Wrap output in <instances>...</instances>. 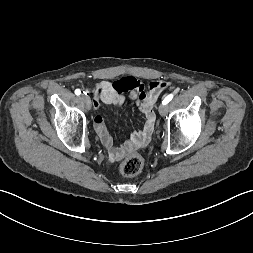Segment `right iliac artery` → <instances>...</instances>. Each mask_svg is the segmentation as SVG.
I'll return each mask as SVG.
<instances>
[{"mask_svg": "<svg viewBox=\"0 0 253 253\" xmlns=\"http://www.w3.org/2000/svg\"><path fill=\"white\" fill-rule=\"evenodd\" d=\"M75 94H76V95H80V94H81L80 89H76V90H75Z\"/></svg>", "mask_w": 253, "mask_h": 253, "instance_id": "right-iliac-artery-1", "label": "right iliac artery"}]
</instances>
